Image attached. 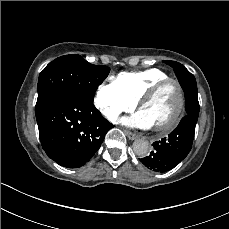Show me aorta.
Segmentation results:
<instances>
[{"mask_svg": "<svg viewBox=\"0 0 229 229\" xmlns=\"http://www.w3.org/2000/svg\"><path fill=\"white\" fill-rule=\"evenodd\" d=\"M133 150L138 156H145L149 152V143L143 139H137L133 143Z\"/></svg>", "mask_w": 229, "mask_h": 229, "instance_id": "obj_1", "label": "aorta"}]
</instances>
